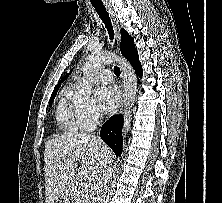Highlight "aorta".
<instances>
[{
    "instance_id": "obj_1",
    "label": "aorta",
    "mask_w": 222,
    "mask_h": 203,
    "mask_svg": "<svg viewBox=\"0 0 222 203\" xmlns=\"http://www.w3.org/2000/svg\"><path fill=\"white\" fill-rule=\"evenodd\" d=\"M118 62L123 73L124 79V123H123V137L125 138L129 132L132 120V107L135 102L137 91V77L129 62L125 59L116 56L113 53H99L93 52L89 56L84 65L83 77L80 82L76 84L77 90L85 95L91 94V89L98 72L103 65Z\"/></svg>"
}]
</instances>
